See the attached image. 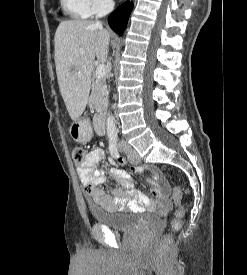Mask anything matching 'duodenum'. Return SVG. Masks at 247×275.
<instances>
[{"label":"duodenum","mask_w":247,"mask_h":275,"mask_svg":"<svg viewBox=\"0 0 247 275\" xmlns=\"http://www.w3.org/2000/svg\"><path fill=\"white\" fill-rule=\"evenodd\" d=\"M94 127L98 135H105L107 131L106 119L103 115H97L94 118Z\"/></svg>","instance_id":"duodenum-1"}]
</instances>
